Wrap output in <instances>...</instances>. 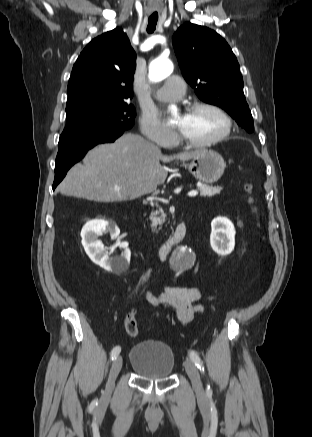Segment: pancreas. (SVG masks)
Returning <instances> with one entry per match:
<instances>
[{
    "instance_id": "1",
    "label": "pancreas",
    "mask_w": 312,
    "mask_h": 437,
    "mask_svg": "<svg viewBox=\"0 0 312 437\" xmlns=\"http://www.w3.org/2000/svg\"><path fill=\"white\" fill-rule=\"evenodd\" d=\"M199 190L202 197H212L214 195L220 194L222 187H213L203 184L199 186ZM158 214H160V216H157ZM150 219L152 220V227H156L157 225H162L164 223L165 214L161 209H159L156 212L152 213Z\"/></svg>"
}]
</instances>
